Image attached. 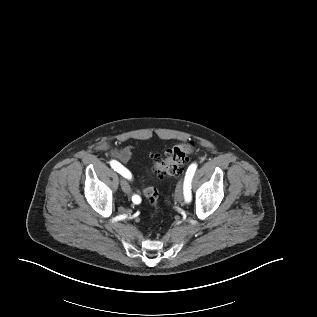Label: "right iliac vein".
Returning a JSON list of instances; mask_svg holds the SVG:
<instances>
[{"instance_id": "obj_1", "label": "right iliac vein", "mask_w": 317, "mask_h": 317, "mask_svg": "<svg viewBox=\"0 0 317 317\" xmlns=\"http://www.w3.org/2000/svg\"><path fill=\"white\" fill-rule=\"evenodd\" d=\"M120 185L122 190L126 193V194H130L131 188L130 185L128 184V182L124 179H121L120 181Z\"/></svg>"}]
</instances>
